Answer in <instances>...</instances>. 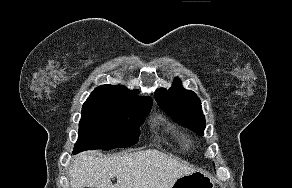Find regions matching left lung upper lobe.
<instances>
[{"instance_id":"left-lung-upper-lobe-1","label":"left lung upper lobe","mask_w":292,"mask_h":188,"mask_svg":"<svg viewBox=\"0 0 292 188\" xmlns=\"http://www.w3.org/2000/svg\"><path fill=\"white\" fill-rule=\"evenodd\" d=\"M155 98L159 106L174 119L198 135H203L206 125L201 102L194 92L182 88L180 79H175L173 86L168 90L158 89Z\"/></svg>"}]
</instances>
